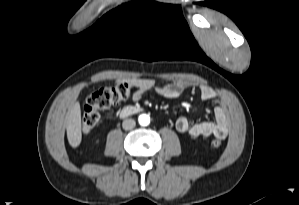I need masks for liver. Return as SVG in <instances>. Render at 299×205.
Segmentation results:
<instances>
[{
  "label": "liver",
  "instance_id": "liver-1",
  "mask_svg": "<svg viewBox=\"0 0 299 205\" xmlns=\"http://www.w3.org/2000/svg\"><path fill=\"white\" fill-rule=\"evenodd\" d=\"M66 131L69 144L76 148L82 140L81 109L79 102H75L66 117Z\"/></svg>",
  "mask_w": 299,
  "mask_h": 205
}]
</instances>
